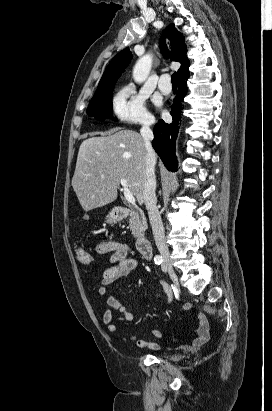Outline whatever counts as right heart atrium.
I'll use <instances>...</instances> for the list:
<instances>
[{"mask_svg":"<svg viewBox=\"0 0 272 411\" xmlns=\"http://www.w3.org/2000/svg\"><path fill=\"white\" fill-rule=\"evenodd\" d=\"M114 117L124 123L149 125L153 116L148 112L145 98L132 85L121 87L111 103Z\"/></svg>","mask_w":272,"mask_h":411,"instance_id":"d8ad5b80","label":"right heart atrium"}]
</instances>
